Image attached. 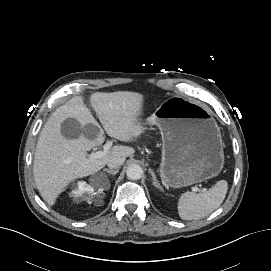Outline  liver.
Listing matches in <instances>:
<instances>
[{
    "instance_id": "obj_1",
    "label": "liver",
    "mask_w": 271,
    "mask_h": 271,
    "mask_svg": "<svg viewBox=\"0 0 271 271\" xmlns=\"http://www.w3.org/2000/svg\"><path fill=\"white\" fill-rule=\"evenodd\" d=\"M142 102L143 96L134 92L94 93L90 97V104L108 135L124 142H131L141 134L138 120ZM68 118L75 119L81 126L97 125L82 98L75 97L59 107L42 129L33 172L37 189L50 206L74 179L98 172L112 158L135 153L131 147L114 146L105 156L91 159L87 151L103 143V133L94 139L83 134L77 139H67L61 133V125Z\"/></svg>"
}]
</instances>
